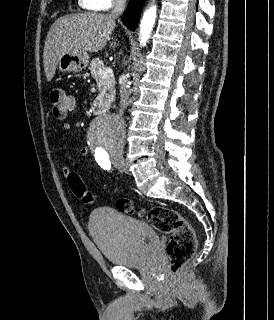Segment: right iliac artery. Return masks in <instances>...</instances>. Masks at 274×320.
Returning <instances> with one entry per match:
<instances>
[{"instance_id": "obj_1", "label": "right iliac artery", "mask_w": 274, "mask_h": 320, "mask_svg": "<svg viewBox=\"0 0 274 320\" xmlns=\"http://www.w3.org/2000/svg\"><path fill=\"white\" fill-rule=\"evenodd\" d=\"M97 162L103 169L108 170L111 167L110 160L108 158L97 160Z\"/></svg>"}]
</instances>
